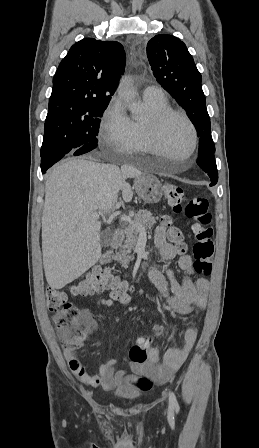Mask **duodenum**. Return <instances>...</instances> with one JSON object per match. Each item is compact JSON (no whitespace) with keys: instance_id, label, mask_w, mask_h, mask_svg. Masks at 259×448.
I'll use <instances>...</instances> for the list:
<instances>
[{"instance_id":"1","label":"duodenum","mask_w":259,"mask_h":448,"mask_svg":"<svg viewBox=\"0 0 259 448\" xmlns=\"http://www.w3.org/2000/svg\"><path fill=\"white\" fill-rule=\"evenodd\" d=\"M124 231L122 228H117L113 231L112 238H111V248L117 249L123 239ZM111 262V254L109 252H106L101 257V263L103 264H109Z\"/></svg>"}]
</instances>
